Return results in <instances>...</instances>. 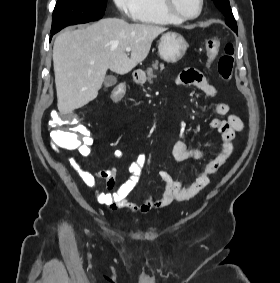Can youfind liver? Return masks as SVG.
Masks as SVG:
<instances>
[{"label":"liver","instance_id":"6515ba94","mask_svg":"<svg viewBox=\"0 0 280 283\" xmlns=\"http://www.w3.org/2000/svg\"><path fill=\"white\" fill-rule=\"evenodd\" d=\"M167 28L129 24L105 18L57 36L53 46V67L57 106L68 114L94 100L108 69L124 75L149 54L153 40ZM131 47V57L125 49Z\"/></svg>","mask_w":280,"mask_h":283}]
</instances>
